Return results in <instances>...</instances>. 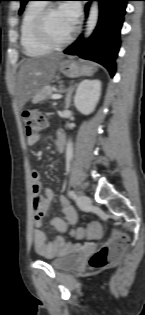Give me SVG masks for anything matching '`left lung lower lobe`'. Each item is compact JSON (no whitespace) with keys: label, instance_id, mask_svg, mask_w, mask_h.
I'll return each mask as SVG.
<instances>
[{"label":"left lung lower lobe","instance_id":"left-lung-lower-lobe-1","mask_svg":"<svg viewBox=\"0 0 145 315\" xmlns=\"http://www.w3.org/2000/svg\"><path fill=\"white\" fill-rule=\"evenodd\" d=\"M99 1L98 24L88 40L78 39L64 53L93 60L108 69L111 76L116 70V57L120 48V32L127 1L129 0H87ZM89 5L85 12L88 14Z\"/></svg>","mask_w":145,"mask_h":315}]
</instances>
